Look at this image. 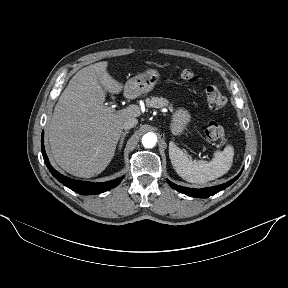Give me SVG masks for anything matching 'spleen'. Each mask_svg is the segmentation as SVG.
Instances as JSON below:
<instances>
[{"instance_id":"spleen-1","label":"spleen","mask_w":288,"mask_h":288,"mask_svg":"<svg viewBox=\"0 0 288 288\" xmlns=\"http://www.w3.org/2000/svg\"><path fill=\"white\" fill-rule=\"evenodd\" d=\"M234 149L227 145L216 151L210 162L191 160L174 142L169 143V158L177 174L191 183H205L226 174L233 163Z\"/></svg>"}]
</instances>
